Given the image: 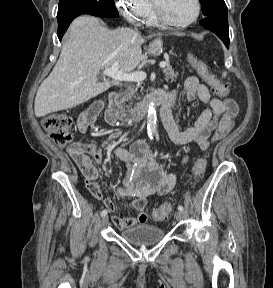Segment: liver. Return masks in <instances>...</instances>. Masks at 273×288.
<instances>
[{
  "instance_id": "obj_1",
  "label": "liver",
  "mask_w": 273,
  "mask_h": 288,
  "mask_svg": "<svg viewBox=\"0 0 273 288\" xmlns=\"http://www.w3.org/2000/svg\"><path fill=\"white\" fill-rule=\"evenodd\" d=\"M144 42L131 29L109 30L96 17L76 18L56 65L38 88L36 117L76 107L108 90L111 82H98L99 71L117 63L119 71L131 73L146 59Z\"/></svg>"
}]
</instances>
